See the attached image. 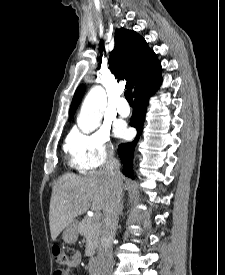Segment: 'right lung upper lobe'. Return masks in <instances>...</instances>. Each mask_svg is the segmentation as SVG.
<instances>
[{
	"mask_svg": "<svg viewBox=\"0 0 225 275\" xmlns=\"http://www.w3.org/2000/svg\"><path fill=\"white\" fill-rule=\"evenodd\" d=\"M109 67L119 79H126V87L133 88L137 95L152 78L160 75L161 64L144 38L135 31L120 29L115 35V47L109 56ZM85 86L80 85L73 97L69 118L74 115Z\"/></svg>",
	"mask_w": 225,
	"mask_h": 275,
	"instance_id": "cb5924a9",
	"label": "right lung upper lobe"
}]
</instances>
